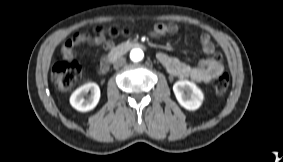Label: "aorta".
Wrapping results in <instances>:
<instances>
[{
    "mask_svg": "<svg viewBox=\"0 0 283 162\" xmlns=\"http://www.w3.org/2000/svg\"><path fill=\"white\" fill-rule=\"evenodd\" d=\"M144 57V53L141 49L135 48L130 52V59L133 62H140Z\"/></svg>",
    "mask_w": 283,
    "mask_h": 162,
    "instance_id": "obj_1",
    "label": "aorta"
}]
</instances>
